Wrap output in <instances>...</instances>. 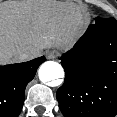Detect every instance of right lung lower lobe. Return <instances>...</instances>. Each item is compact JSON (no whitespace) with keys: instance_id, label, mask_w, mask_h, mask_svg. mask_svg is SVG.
Returning a JSON list of instances; mask_svg holds the SVG:
<instances>
[{"instance_id":"obj_1","label":"right lung lower lobe","mask_w":117,"mask_h":117,"mask_svg":"<svg viewBox=\"0 0 117 117\" xmlns=\"http://www.w3.org/2000/svg\"><path fill=\"white\" fill-rule=\"evenodd\" d=\"M45 61L39 57L28 62L0 66V117H17L23 107L26 85Z\"/></svg>"}]
</instances>
